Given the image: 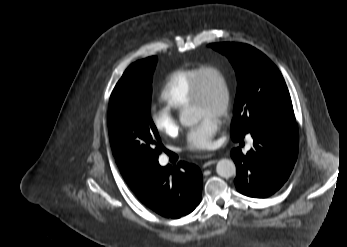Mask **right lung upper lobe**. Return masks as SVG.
Returning a JSON list of instances; mask_svg holds the SVG:
<instances>
[{
	"mask_svg": "<svg viewBox=\"0 0 347 247\" xmlns=\"http://www.w3.org/2000/svg\"><path fill=\"white\" fill-rule=\"evenodd\" d=\"M116 159V158H115ZM120 172L130 187H137L140 179L146 174V169L116 159Z\"/></svg>",
	"mask_w": 347,
	"mask_h": 247,
	"instance_id": "obj_1",
	"label": "right lung upper lobe"
}]
</instances>
